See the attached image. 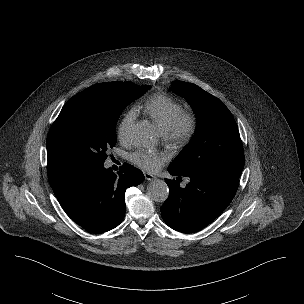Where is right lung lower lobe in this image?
I'll return each instance as SVG.
<instances>
[{
	"label": "right lung lower lobe",
	"instance_id": "right-lung-lower-lobe-1",
	"mask_svg": "<svg viewBox=\"0 0 304 304\" xmlns=\"http://www.w3.org/2000/svg\"><path fill=\"white\" fill-rule=\"evenodd\" d=\"M143 180V173L127 163L117 175L103 164L80 171L52 189L74 222L88 231L100 233L121 223L126 209V189Z\"/></svg>",
	"mask_w": 304,
	"mask_h": 304
}]
</instances>
